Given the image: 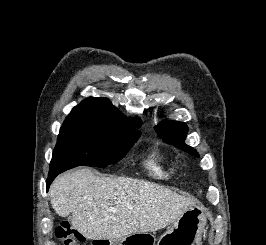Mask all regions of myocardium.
Returning <instances> with one entry per match:
<instances>
[{
    "instance_id": "f54148a6",
    "label": "myocardium",
    "mask_w": 266,
    "mask_h": 245,
    "mask_svg": "<svg viewBox=\"0 0 266 245\" xmlns=\"http://www.w3.org/2000/svg\"><path fill=\"white\" fill-rule=\"evenodd\" d=\"M180 168H183L184 167V164L181 162L180 165H179Z\"/></svg>"
}]
</instances>
